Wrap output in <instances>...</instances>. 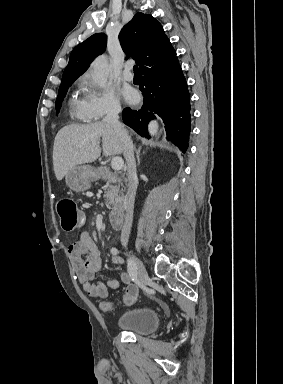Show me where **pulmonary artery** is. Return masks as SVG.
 I'll return each mask as SVG.
<instances>
[{"label": "pulmonary artery", "instance_id": "e3ab8cb5", "mask_svg": "<svg viewBox=\"0 0 283 384\" xmlns=\"http://www.w3.org/2000/svg\"><path fill=\"white\" fill-rule=\"evenodd\" d=\"M132 68H133V64L131 62H127L124 64V67L122 70V77L127 81H132L134 78Z\"/></svg>", "mask_w": 283, "mask_h": 384}]
</instances>
